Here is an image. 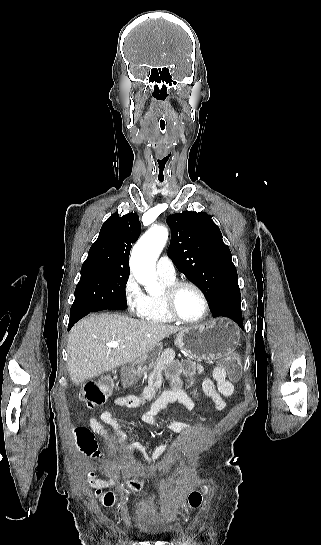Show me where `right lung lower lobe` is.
Wrapping results in <instances>:
<instances>
[{
	"instance_id": "98d812e1",
	"label": "right lung lower lobe",
	"mask_w": 321,
	"mask_h": 545,
	"mask_svg": "<svg viewBox=\"0 0 321 545\" xmlns=\"http://www.w3.org/2000/svg\"><path fill=\"white\" fill-rule=\"evenodd\" d=\"M127 308V302L126 301H120L118 302L117 304L111 306V309H117V310H123V309H126ZM91 311H83V312H79V313H76V314H73L70 316V321H69V325H68V330H70L72 328V326L78 321L80 320L82 317L86 316L87 314H89Z\"/></svg>"
}]
</instances>
